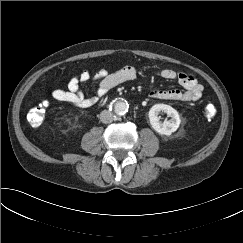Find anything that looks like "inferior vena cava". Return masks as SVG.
Returning a JSON list of instances; mask_svg holds the SVG:
<instances>
[{"mask_svg":"<svg viewBox=\"0 0 243 243\" xmlns=\"http://www.w3.org/2000/svg\"><path fill=\"white\" fill-rule=\"evenodd\" d=\"M100 120L105 123H111L113 121V114L110 111L104 110L100 113Z\"/></svg>","mask_w":243,"mask_h":243,"instance_id":"1","label":"inferior vena cava"}]
</instances>
